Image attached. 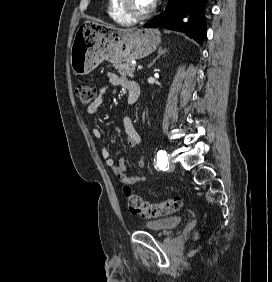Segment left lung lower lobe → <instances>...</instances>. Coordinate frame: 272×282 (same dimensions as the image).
<instances>
[{"instance_id": "left-lung-lower-lobe-1", "label": "left lung lower lobe", "mask_w": 272, "mask_h": 282, "mask_svg": "<svg viewBox=\"0 0 272 282\" xmlns=\"http://www.w3.org/2000/svg\"><path fill=\"white\" fill-rule=\"evenodd\" d=\"M206 0H169L164 12L148 21L144 27H164L184 32L199 44L203 43L206 29L203 12ZM189 15L188 23L182 18Z\"/></svg>"}]
</instances>
